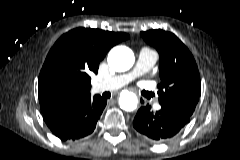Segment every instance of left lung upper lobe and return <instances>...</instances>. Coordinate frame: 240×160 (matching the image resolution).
<instances>
[{"mask_svg":"<svg viewBox=\"0 0 240 160\" xmlns=\"http://www.w3.org/2000/svg\"><path fill=\"white\" fill-rule=\"evenodd\" d=\"M140 34L160 56L159 103L191 117L201 96L200 74L193 55L171 32L153 29Z\"/></svg>","mask_w":240,"mask_h":160,"instance_id":"obj_1","label":"left lung upper lobe"}]
</instances>
